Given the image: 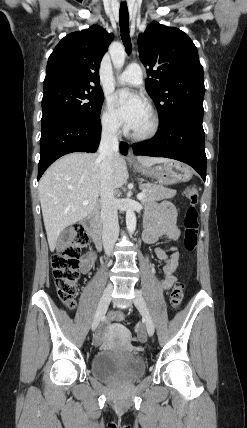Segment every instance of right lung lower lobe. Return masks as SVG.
Masks as SVG:
<instances>
[{
  "mask_svg": "<svg viewBox=\"0 0 247 428\" xmlns=\"http://www.w3.org/2000/svg\"><path fill=\"white\" fill-rule=\"evenodd\" d=\"M38 180L59 157L72 152H95L101 138L100 119L93 122L71 117L56 116L42 120ZM120 151L126 155L128 145L121 143Z\"/></svg>",
  "mask_w": 247,
  "mask_h": 428,
  "instance_id": "right-lung-lower-lobe-1",
  "label": "right lung lower lobe"
}]
</instances>
